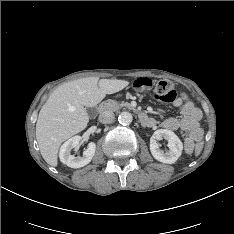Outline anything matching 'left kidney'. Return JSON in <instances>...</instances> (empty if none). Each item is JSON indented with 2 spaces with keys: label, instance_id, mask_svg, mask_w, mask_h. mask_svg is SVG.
<instances>
[{
  "label": "left kidney",
  "instance_id": "left-kidney-1",
  "mask_svg": "<svg viewBox=\"0 0 234 234\" xmlns=\"http://www.w3.org/2000/svg\"><path fill=\"white\" fill-rule=\"evenodd\" d=\"M166 139L168 142L169 151L163 152L159 149L158 140ZM183 150V143L180 138L171 130L158 129L150 138V151L152 156L166 164H173L181 156Z\"/></svg>",
  "mask_w": 234,
  "mask_h": 234
}]
</instances>
